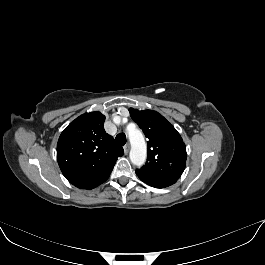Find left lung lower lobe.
I'll return each instance as SVG.
<instances>
[{"instance_id":"0a47b994","label":"left lung lower lobe","mask_w":265,"mask_h":265,"mask_svg":"<svg viewBox=\"0 0 265 265\" xmlns=\"http://www.w3.org/2000/svg\"><path fill=\"white\" fill-rule=\"evenodd\" d=\"M141 181L155 188H164L174 184L177 180L150 177L136 172Z\"/></svg>"}]
</instances>
